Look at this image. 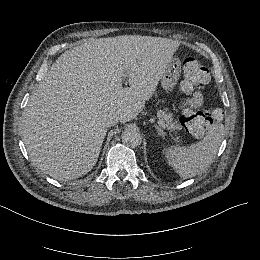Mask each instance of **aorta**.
Listing matches in <instances>:
<instances>
[{
    "label": "aorta",
    "mask_w": 260,
    "mask_h": 260,
    "mask_svg": "<svg viewBox=\"0 0 260 260\" xmlns=\"http://www.w3.org/2000/svg\"><path fill=\"white\" fill-rule=\"evenodd\" d=\"M122 141L129 146L136 147L141 144L142 136L136 129L127 128L122 133Z\"/></svg>",
    "instance_id": "aorta-1"
}]
</instances>
